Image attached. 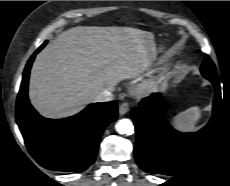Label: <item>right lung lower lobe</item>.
<instances>
[{
  "mask_svg": "<svg viewBox=\"0 0 230 186\" xmlns=\"http://www.w3.org/2000/svg\"><path fill=\"white\" fill-rule=\"evenodd\" d=\"M39 48L29 59L16 102V120L26 147L44 168L54 171L86 170L95 160L105 127L116 120V101L93 103L79 114L62 119L39 115L28 99L30 68Z\"/></svg>",
  "mask_w": 230,
  "mask_h": 186,
  "instance_id": "obj_1",
  "label": "right lung lower lobe"
}]
</instances>
